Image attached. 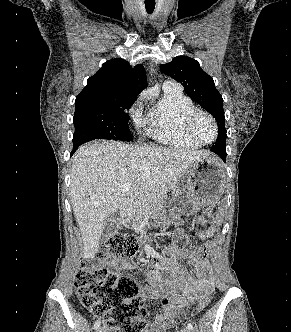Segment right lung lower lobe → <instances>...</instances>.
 I'll return each instance as SVG.
<instances>
[{
  "instance_id": "right-lung-lower-lobe-1",
  "label": "right lung lower lobe",
  "mask_w": 291,
  "mask_h": 332,
  "mask_svg": "<svg viewBox=\"0 0 291 332\" xmlns=\"http://www.w3.org/2000/svg\"><path fill=\"white\" fill-rule=\"evenodd\" d=\"M77 148H78V146H76V145L73 144V152H74ZM73 152H72V153H73Z\"/></svg>"
}]
</instances>
